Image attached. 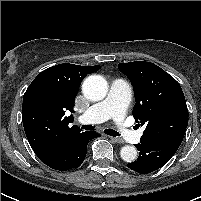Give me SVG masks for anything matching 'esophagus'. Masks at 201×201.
Masks as SVG:
<instances>
[{
	"instance_id": "1",
	"label": "esophagus",
	"mask_w": 201,
	"mask_h": 201,
	"mask_svg": "<svg viewBox=\"0 0 201 201\" xmlns=\"http://www.w3.org/2000/svg\"><path fill=\"white\" fill-rule=\"evenodd\" d=\"M112 141L122 144L124 141L118 137H110Z\"/></svg>"
}]
</instances>
